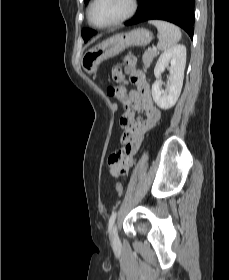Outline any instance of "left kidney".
<instances>
[{
    "label": "left kidney",
    "mask_w": 229,
    "mask_h": 280,
    "mask_svg": "<svg viewBox=\"0 0 229 280\" xmlns=\"http://www.w3.org/2000/svg\"><path fill=\"white\" fill-rule=\"evenodd\" d=\"M185 65L186 47L184 45H175L160 55L154 69L156 81L152 85V96L161 109H170L177 102L183 85ZM166 67H169L170 77L169 86L164 91L161 89L160 77Z\"/></svg>",
    "instance_id": "5707ae66"
}]
</instances>
